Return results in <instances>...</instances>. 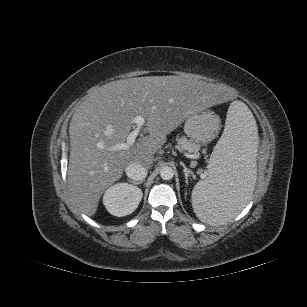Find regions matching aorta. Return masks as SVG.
I'll return each instance as SVG.
<instances>
[{"label": "aorta", "instance_id": "obj_1", "mask_svg": "<svg viewBox=\"0 0 307 307\" xmlns=\"http://www.w3.org/2000/svg\"><path fill=\"white\" fill-rule=\"evenodd\" d=\"M174 176V171L171 167L165 166L160 170V177L163 180H170Z\"/></svg>", "mask_w": 307, "mask_h": 307}]
</instances>
